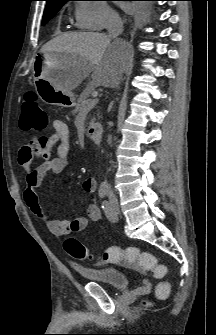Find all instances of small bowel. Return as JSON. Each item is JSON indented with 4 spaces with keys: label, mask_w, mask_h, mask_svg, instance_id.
I'll use <instances>...</instances> for the list:
<instances>
[{
    "label": "small bowel",
    "mask_w": 216,
    "mask_h": 335,
    "mask_svg": "<svg viewBox=\"0 0 216 335\" xmlns=\"http://www.w3.org/2000/svg\"><path fill=\"white\" fill-rule=\"evenodd\" d=\"M54 133L46 138H35L29 145L23 146L18 154V160L26 173V188L24 199L33 214L43 221L48 230L57 236H66L78 233L88 226L90 222H97L101 218L98 205L92 202L87 207V215L72 220H55L48 217L42 207L36 189L41 185L48 172L61 173L66 166V157L70 150V135L67 124L59 119L52 123ZM42 139V141H40ZM55 153L53 154V151ZM34 158L41 160V164L32 167ZM82 188L87 193H92L96 188V180L86 178Z\"/></svg>",
    "instance_id": "1"
}]
</instances>
